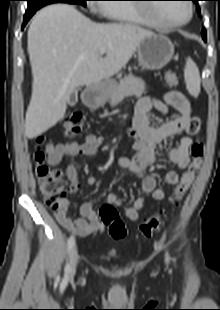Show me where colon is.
<instances>
[{
    "label": "colon",
    "mask_w": 220,
    "mask_h": 310,
    "mask_svg": "<svg viewBox=\"0 0 220 310\" xmlns=\"http://www.w3.org/2000/svg\"><path fill=\"white\" fill-rule=\"evenodd\" d=\"M164 81L168 86L175 87L180 83L178 74L167 69L164 72ZM84 125V116L81 112H73L67 115L62 122L63 129L68 136H77ZM44 141L43 136L36 138V147L34 151V159L36 161V176L39 189L43 195L44 202L47 207L52 210L60 208L64 195L66 193V185L62 178V171L53 168L44 163L45 154L41 150V144ZM204 153V144L201 140L196 141L191 147L192 160L187 170L181 175L180 181L177 183L174 192L170 198V202L175 204L188 191L192 185L195 175L202 164ZM101 222L109 227V233L114 239H122L126 235V228L121 220L118 211L111 204H104L100 208ZM168 215L167 210H162L149 217L139 226L140 235L144 238H150L158 231L163 220Z\"/></svg>",
    "instance_id": "5ec220e1"
}]
</instances>
